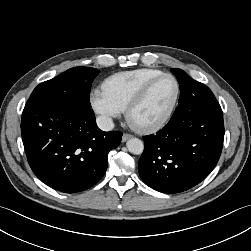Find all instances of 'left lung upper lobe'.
I'll use <instances>...</instances> for the list:
<instances>
[{"mask_svg": "<svg viewBox=\"0 0 251 251\" xmlns=\"http://www.w3.org/2000/svg\"><path fill=\"white\" fill-rule=\"evenodd\" d=\"M171 72L176 76V78L180 84V92H183L184 90H190L194 86H196L198 84H202V83L192 79L189 75H187L181 69H178V68L171 69Z\"/></svg>", "mask_w": 251, "mask_h": 251, "instance_id": "1", "label": "left lung upper lobe"}]
</instances>
